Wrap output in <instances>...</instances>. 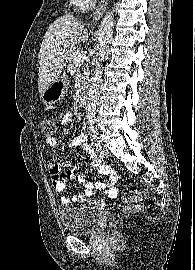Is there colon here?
Wrapping results in <instances>:
<instances>
[{"label": "colon", "instance_id": "obj_1", "mask_svg": "<svg viewBox=\"0 0 195 270\" xmlns=\"http://www.w3.org/2000/svg\"><path fill=\"white\" fill-rule=\"evenodd\" d=\"M40 129L44 136L51 137L55 132V124L54 121L50 118H43L40 121ZM143 193L141 191H136L133 196L126 199L125 202L133 203L124 208L125 213L138 211L141 209V205L138 204L143 199Z\"/></svg>", "mask_w": 195, "mask_h": 270}]
</instances>
